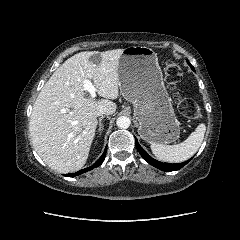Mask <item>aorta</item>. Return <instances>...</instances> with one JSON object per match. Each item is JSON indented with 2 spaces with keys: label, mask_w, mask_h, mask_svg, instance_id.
<instances>
[{
  "label": "aorta",
  "mask_w": 240,
  "mask_h": 240,
  "mask_svg": "<svg viewBox=\"0 0 240 240\" xmlns=\"http://www.w3.org/2000/svg\"><path fill=\"white\" fill-rule=\"evenodd\" d=\"M116 124L121 129H127L131 124V120L127 116H120L118 117Z\"/></svg>",
  "instance_id": "762f6f07"
}]
</instances>
